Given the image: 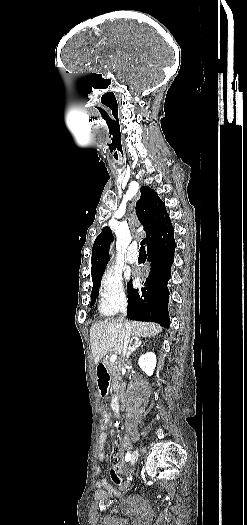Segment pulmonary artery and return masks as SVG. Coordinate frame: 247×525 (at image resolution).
Returning <instances> with one entry per match:
<instances>
[{
  "label": "pulmonary artery",
  "instance_id": "e3ab8cb5",
  "mask_svg": "<svg viewBox=\"0 0 247 525\" xmlns=\"http://www.w3.org/2000/svg\"><path fill=\"white\" fill-rule=\"evenodd\" d=\"M126 254L127 255L125 257V260L128 263H131L137 259V255L135 254V251L132 248L127 249Z\"/></svg>",
  "mask_w": 247,
  "mask_h": 525
}]
</instances>
